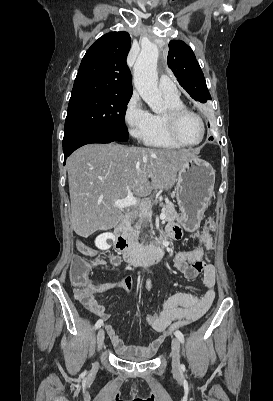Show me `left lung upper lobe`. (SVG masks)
Listing matches in <instances>:
<instances>
[{"label":"left lung upper lobe","mask_w":273,"mask_h":401,"mask_svg":"<svg viewBox=\"0 0 273 401\" xmlns=\"http://www.w3.org/2000/svg\"><path fill=\"white\" fill-rule=\"evenodd\" d=\"M167 63L177 81L193 99L201 103L211 100L204 74L192 49L186 43L180 40L170 41Z\"/></svg>","instance_id":"obj_1"}]
</instances>
